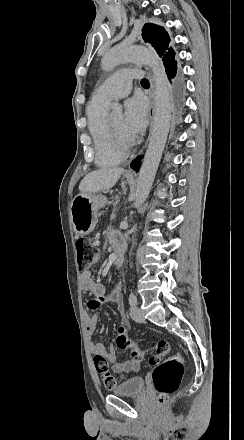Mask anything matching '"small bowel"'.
I'll use <instances>...</instances> for the list:
<instances>
[{
	"label": "small bowel",
	"instance_id": "1",
	"mask_svg": "<svg viewBox=\"0 0 244 440\" xmlns=\"http://www.w3.org/2000/svg\"><path fill=\"white\" fill-rule=\"evenodd\" d=\"M117 234L114 235L112 241L114 244L117 242ZM81 287L87 291L93 298L88 302V307L91 309H98L105 302H114L120 309L123 306V297L120 291V285L114 286L109 294L105 293V287L102 283L95 281L91 271H83L80 275ZM98 315L88 316L86 319L87 332L92 335L97 329ZM121 322L126 324V332L129 333L130 325L127 317L122 315ZM100 332H104V327L99 328ZM90 351L92 353H106L107 361L111 363L112 369L116 373H127L130 371H138L140 369V363H134L133 358L121 360L118 358L115 349L113 347L107 348L101 342H90ZM126 349V348H120Z\"/></svg>",
	"mask_w": 244,
	"mask_h": 440
}]
</instances>
